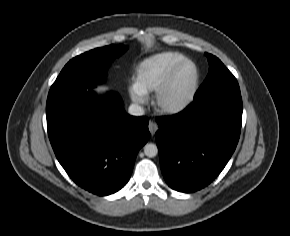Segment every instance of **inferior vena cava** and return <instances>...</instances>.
Masks as SVG:
<instances>
[{
    "mask_svg": "<svg viewBox=\"0 0 290 236\" xmlns=\"http://www.w3.org/2000/svg\"><path fill=\"white\" fill-rule=\"evenodd\" d=\"M128 113L133 116L144 115V109L138 104H131L128 108Z\"/></svg>",
    "mask_w": 290,
    "mask_h": 236,
    "instance_id": "obj_1",
    "label": "inferior vena cava"
}]
</instances>
